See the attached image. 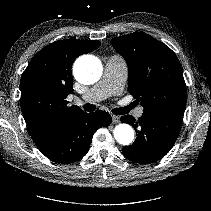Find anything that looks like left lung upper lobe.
<instances>
[{
    "mask_svg": "<svg viewBox=\"0 0 211 211\" xmlns=\"http://www.w3.org/2000/svg\"><path fill=\"white\" fill-rule=\"evenodd\" d=\"M111 44L128 64L129 92L144 111L185 110L182 67L169 47L142 32L112 38Z\"/></svg>",
    "mask_w": 211,
    "mask_h": 211,
    "instance_id": "left-lung-upper-lobe-1",
    "label": "left lung upper lobe"
}]
</instances>
